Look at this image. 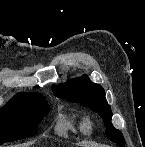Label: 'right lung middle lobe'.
Segmentation results:
<instances>
[{"mask_svg": "<svg viewBox=\"0 0 145 147\" xmlns=\"http://www.w3.org/2000/svg\"><path fill=\"white\" fill-rule=\"evenodd\" d=\"M48 112L41 94L19 93L0 110V144L34 136Z\"/></svg>", "mask_w": 145, "mask_h": 147, "instance_id": "dd1d6c3e", "label": "right lung middle lobe"}]
</instances>
